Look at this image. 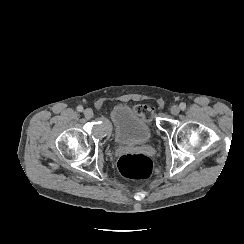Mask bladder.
<instances>
[{
	"mask_svg": "<svg viewBox=\"0 0 244 244\" xmlns=\"http://www.w3.org/2000/svg\"><path fill=\"white\" fill-rule=\"evenodd\" d=\"M114 124L113 135L119 145H143L149 144L152 139V129L145 124L126 105H117L112 111Z\"/></svg>",
	"mask_w": 244,
	"mask_h": 244,
	"instance_id": "31cf9c89",
	"label": "bladder"
}]
</instances>
